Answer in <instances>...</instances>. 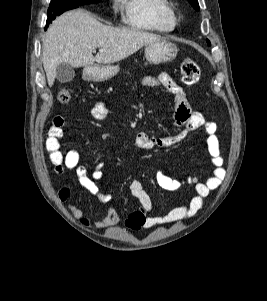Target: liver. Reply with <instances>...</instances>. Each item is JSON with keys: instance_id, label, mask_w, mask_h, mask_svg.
<instances>
[{"instance_id": "1", "label": "liver", "mask_w": 267, "mask_h": 301, "mask_svg": "<svg viewBox=\"0 0 267 301\" xmlns=\"http://www.w3.org/2000/svg\"><path fill=\"white\" fill-rule=\"evenodd\" d=\"M159 35L128 28H114L97 21L82 9L66 12L53 21L43 40L42 62L51 87L57 66L91 67L121 61L147 44L160 40ZM99 48L94 57L92 52Z\"/></svg>"}]
</instances>
